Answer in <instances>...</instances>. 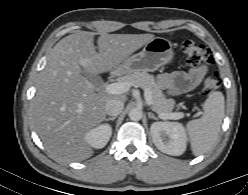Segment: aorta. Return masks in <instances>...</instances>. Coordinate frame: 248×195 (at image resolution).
<instances>
[{
    "label": "aorta",
    "instance_id": "aorta-1",
    "mask_svg": "<svg viewBox=\"0 0 248 195\" xmlns=\"http://www.w3.org/2000/svg\"><path fill=\"white\" fill-rule=\"evenodd\" d=\"M129 118L133 121H139L142 118L143 112L141 108L139 107H134L130 109L129 113Z\"/></svg>",
    "mask_w": 248,
    "mask_h": 195
}]
</instances>
